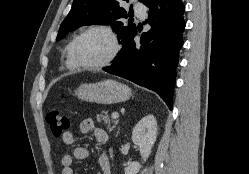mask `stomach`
<instances>
[{
  "mask_svg": "<svg viewBox=\"0 0 249 174\" xmlns=\"http://www.w3.org/2000/svg\"><path fill=\"white\" fill-rule=\"evenodd\" d=\"M75 95L84 101L99 104H114L128 100L131 89L114 80H104L99 83H85L75 91Z\"/></svg>",
  "mask_w": 249,
  "mask_h": 174,
  "instance_id": "0dacf381",
  "label": "stomach"
}]
</instances>
